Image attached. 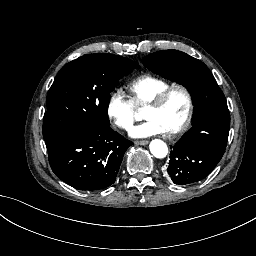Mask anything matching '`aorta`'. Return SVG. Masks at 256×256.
Listing matches in <instances>:
<instances>
[{"instance_id": "aorta-1", "label": "aorta", "mask_w": 256, "mask_h": 256, "mask_svg": "<svg viewBox=\"0 0 256 256\" xmlns=\"http://www.w3.org/2000/svg\"><path fill=\"white\" fill-rule=\"evenodd\" d=\"M149 149L151 154L158 159L165 158L168 154V146L161 139L152 140L149 144Z\"/></svg>"}]
</instances>
